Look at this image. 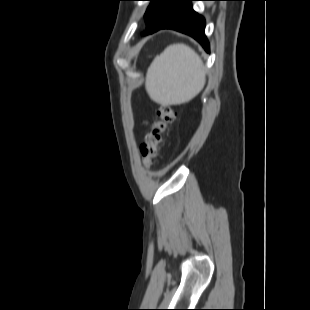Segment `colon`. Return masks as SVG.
I'll return each instance as SVG.
<instances>
[{
    "label": "colon",
    "instance_id": "1",
    "mask_svg": "<svg viewBox=\"0 0 310 310\" xmlns=\"http://www.w3.org/2000/svg\"><path fill=\"white\" fill-rule=\"evenodd\" d=\"M175 111L168 104H161L157 109V120L153 122L140 146V152L145 167L150 168L164 141L169 126L175 120Z\"/></svg>",
    "mask_w": 310,
    "mask_h": 310
}]
</instances>
